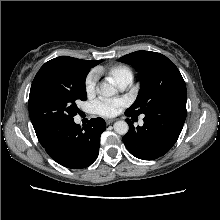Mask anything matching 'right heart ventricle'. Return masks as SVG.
Returning <instances> with one entry per match:
<instances>
[{
  "mask_svg": "<svg viewBox=\"0 0 220 220\" xmlns=\"http://www.w3.org/2000/svg\"><path fill=\"white\" fill-rule=\"evenodd\" d=\"M106 73L116 85L125 79L133 80V72L131 68L125 65L111 66L107 68Z\"/></svg>",
  "mask_w": 220,
  "mask_h": 220,
  "instance_id": "1",
  "label": "right heart ventricle"
}]
</instances>
